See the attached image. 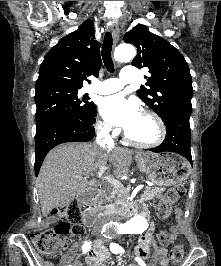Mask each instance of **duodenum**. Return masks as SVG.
Listing matches in <instances>:
<instances>
[{
  "mask_svg": "<svg viewBox=\"0 0 221 266\" xmlns=\"http://www.w3.org/2000/svg\"><path fill=\"white\" fill-rule=\"evenodd\" d=\"M97 196V191L87 190L79 196V199L83 203L92 201ZM142 209L141 203H129L126 207H116L114 214L116 216H134ZM102 215L101 210L99 209H88L84 213V224L88 227L93 226L98 218ZM109 215V212H108Z\"/></svg>",
  "mask_w": 221,
  "mask_h": 266,
  "instance_id": "obj_1",
  "label": "duodenum"
}]
</instances>
